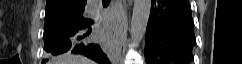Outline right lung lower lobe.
Listing matches in <instances>:
<instances>
[{
    "label": "right lung lower lobe",
    "mask_w": 242,
    "mask_h": 64,
    "mask_svg": "<svg viewBox=\"0 0 242 64\" xmlns=\"http://www.w3.org/2000/svg\"><path fill=\"white\" fill-rule=\"evenodd\" d=\"M94 27L95 23L92 22L86 26L73 27L59 32L48 38L44 45V55L46 58L42 61V64L48 60L47 58L65 52L87 56L98 64H110L108 57L100 45L94 42L91 37Z\"/></svg>",
    "instance_id": "obj_1"
}]
</instances>
